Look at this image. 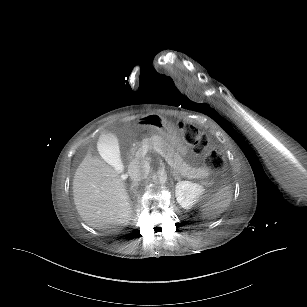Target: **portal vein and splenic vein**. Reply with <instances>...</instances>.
Here are the masks:
<instances>
[{
    "label": "portal vein and splenic vein",
    "mask_w": 307,
    "mask_h": 307,
    "mask_svg": "<svg viewBox=\"0 0 307 307\" xmlns=\"http://www.w3.org/2000/svg\"><path fill=\"white\" fill-rule=\"evenodd\" d=\"M154 149L156 150V152H158L162 157L165 155L162 150L160 148L154 147ZM149 154V149L147 147H142L141 149H138L136 151V158L138 160H141L144 156H147ZM166 163L175 170L176 173L180 172L179 167L177 166L176 163H174L173 161H171L170 159L166 160ZM183 176L185 175L184 173L182 174ZM185 177L190 180V176L189 175H185Z\"/></svg>",
    "instance_id": "1"
}]
</instances>
